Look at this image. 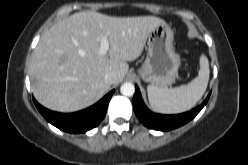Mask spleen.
<instances>
[{
  "mask_svg": "<svg viewBox=\"0 0 248 165\" xmlns=\"http://www.w3.org/2000/svg\"><path fill=\"white\" fill-rule=\"evenodd\" d=\"M199 64L198 76L187 85L170 89L149 85L147 93L152 109L159 113L176 114L194 107L206 91L210 73L205 55L200 57Z\"/></svg>",
  "mask_w": 248,
  "mask_h": 165,
  "instance_id": "obj_1",
  "label": "spleen"
}]
</instances>
